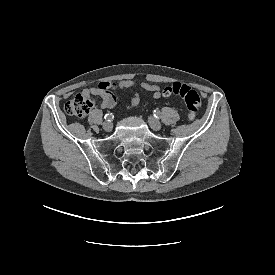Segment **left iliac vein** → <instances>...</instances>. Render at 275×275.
<instances>
[{
	"label": "left iliac vein",
	"instance_id": "4c4485c4",
	"mask_svg": "<svg viewBox=\"0 0 275 275\" xmlns=\"http://www.w3.org/2000/svg\"><path fill=\"white\" fill-rule=\"evenodd\" d=\"M148 122H149L150 127L155 131L160 130L162 127L161 123L154 117H149Z\"/></svg>",
	"mask_w": 275,
	"mask_h": 275
}]
</instances>
